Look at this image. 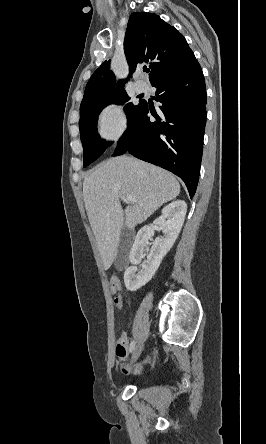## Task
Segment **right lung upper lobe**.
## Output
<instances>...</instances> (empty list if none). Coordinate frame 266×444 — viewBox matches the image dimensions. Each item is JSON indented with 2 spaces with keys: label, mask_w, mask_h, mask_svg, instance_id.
I'll use <instances>...</instances> for the list:
<instances>
[{
  "label": "right lung upper lobe",
  "mask_w": 266,
  "mask_h": 444,
  "mask_svg": "<svg viewBox=\"0 0 266 444\" xmlns=\"http://www.w3.org/2000/svg\"><path fill=\"white\" fill-rule=\"evenodd\" d=\"M124 51L130 67V77L138 64L148 62L151 84L158 78L183 69L196 58L184 36L153 13H132L126 29ZM127 82L110 71V60L105 61L88 81L81 104L115 90ZM121 85V86H120Z\"/></svg>",
  "instance_id": "cb5924a9"
}]
</instances>
